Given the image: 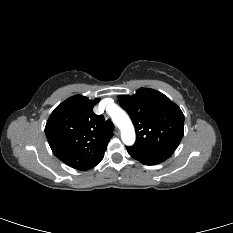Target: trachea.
I'll return each mask as SVG.
<instances>
[{
    "label": "trachea",
    "mask_w": 233,
    "mask_h": 233,
    "mask_svg": "<svg viewBox=\"0 0 233 233\" xmlns=\"http://www.w3.org/2000/svg\"><path fill=\"white\" fill-rule=\"evenodd\" d=\"M105 125H106L107 129H109V130H114V128H115V126L111 120H107L105 122Z\"/></svg>",
    "instance_id": "1"
}]
</instances>
